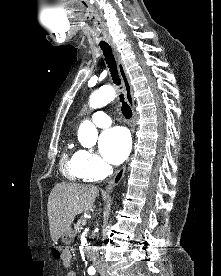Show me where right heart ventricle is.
<instances>
[{
	"label": "right heart ventricle",
	"mask_w": 221,
	"mask_h": 276,
	"mask_svg": "<svg viewBox=\"0 0 221 276\" xmlns=\"http://www.w3.org/2000/svg\"><path fill=\"white\" fill-rule=\"evenodd\" d=\"M81 151L74 150L71 147H66L62 160L61 168L63 174L72 180L85 179L82 167H81Z\"/></svg>",
	"instance_id": "1"
}]
</instances>
